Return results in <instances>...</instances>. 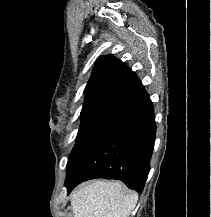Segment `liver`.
I'll return each instance as SVG.
<instances>
[{
	"label": "liver",
	"mask_w": 211,
	"mask_h": 217,
	"mask_svg": "<svg viewBox=\"0 0 211 217\" xmlns=\"http://www.w3.org/2000/svg\"><path fill=\"white\" fill-rule=\"evenodd\" d=\"M73 217H129L137 192L126 191L120 182L94 181L71 195Z\"/></svg>",
	"instance_id": "6515ba94"
}]
</instances>
